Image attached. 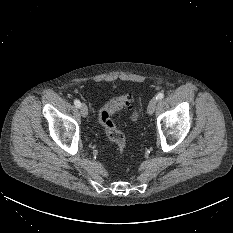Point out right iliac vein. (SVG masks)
Masks as SVG:
<instances>
[{
  "label": "right iliac vein",
  "mask_w": 233,
  "mask_h": 233,
  "mask_svg": "<svg viewBox=\"0 0 233 233\" xmlns=\"http://www.w3.org/2000/svg\"><path fill=\"white\" fill-rule=\"evenodd\" d=\"M80 113L82 115V117L86 118L88 115V108L87 105L85 103H82L80 106Z\"/></svg>",
  "instance_id": "63e3f726"
}]
</instances>
